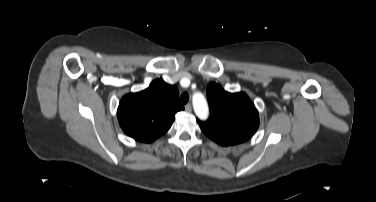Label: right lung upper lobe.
<instances>
[{"mask_svg": "<svg viewBox=\"0 0 376 202\" xmlns=\"http://www.w3.org/2000/svg\"><path fill=\"white\" fill-rule=\"evenodd\" d=\"M178 97L177 87L162 78L141 92L125 95L117 110L122 130L137 141L153 142L170 129L175 114L184 110Z\"/></svg>", "mask_w": 376, "mask_h": 202, "instance_id": "obj_1", "label": "right lung upper lobe"}]
</instances>
